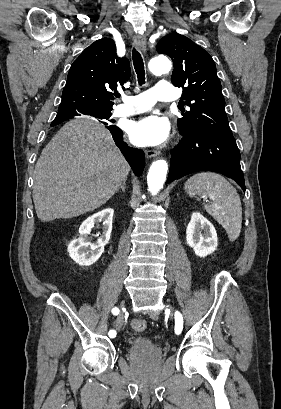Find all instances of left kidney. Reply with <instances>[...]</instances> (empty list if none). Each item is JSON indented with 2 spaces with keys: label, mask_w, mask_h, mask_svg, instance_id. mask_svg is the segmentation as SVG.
Here are the masks:
<instances>
[{
  "label": "left kidney",
  "mask_w": 281,
  "mask_h": 409,
  "mask_svg": "<svg viewBox=\"0 0 281 409\" xmlns=\"http://www.w3.org/2000/svg\"><path fill=\"white\" fill-rule=\"evenodd\" d=\"M186 241L197 257H207L218 247L217 233L212 223L198 211L191 215V221L186 229Z\"/></svg>",
  "instance_id": "obj_1"
}]
</instances>
